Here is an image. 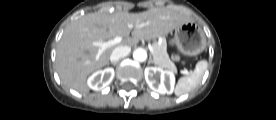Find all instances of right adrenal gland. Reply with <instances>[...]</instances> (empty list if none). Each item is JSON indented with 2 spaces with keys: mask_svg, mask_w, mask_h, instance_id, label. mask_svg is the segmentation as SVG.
I'll list each match as a JSON object with an SVG mask.
<instances>
[{
  "mask_svg": "<svg viewBox=\"0 0 276 120\" xmlns=\"http://www.w3.org/2000/svg\"><path fill=\"white\" fill-rule=\"evenodd\" d=\"M111 64H113L115 66L117 64V62H111Z\"/></svg>",
  "mask_w": 276,
  "mask_h": 120,
  "instance_id": "right-adrenal-gland-1",
  "label": "right adrenal gland"
}]
</instances>
